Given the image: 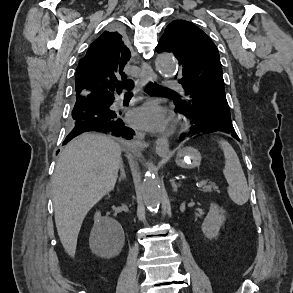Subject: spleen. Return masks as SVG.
<instances>
[{
    "mask_svg": "<svg viewBox=\"0 0 293 293\" xmlns=\"http://www.w3.org/2000/svg\"><path fill=\"white\" fill-rule=\"evenodd\" d=\"M225 157L223 174L228 182V195L237 205L245 204L249 199V188L239 158L232 146L225 140L218 141Z\"/></svg>",
    "mask_w": 293,
    "mask_h": 293,
    "instance_id": "3e777b00",
    "label": "spleen"
}]
</instances>
